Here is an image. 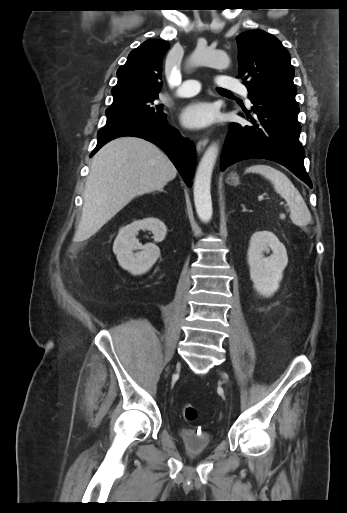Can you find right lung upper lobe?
I'll return each mask as SVG.
<instances>
[{
  "instance_id": "cb5924a9",
  "label": "right lung upper lobe",
  "mask_w": 347,
  "mask_h": 513,
  "mask_svg": "<svg viewBox=\"0 0 347 513\" xmlns=\"http://www.w3.org/2000/svg\"><path fill=\"white\" fill-rule=\"evenodd\" d=\"M169 47L167 41L150 39L131 51L126 63L117 71L118 82L111 90L113 102L158 95L162 87V59Z\"/></svg>"
}]
</instances>
